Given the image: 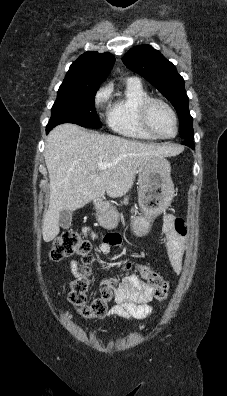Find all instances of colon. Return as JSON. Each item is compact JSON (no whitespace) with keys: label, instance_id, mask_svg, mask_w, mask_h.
<instances>
[{"label":"colon","instance_id":"colon-1","mask_svg":"<svg viewBox=\"0 0 227 396\" xmlns=\"http://www.w3.org/2000/svg\"><path fill=\"white\" fill-rule=\"evenodd\" d=\"M72 256L80 258L82 276L77 277L71 284L70 302L76 307L78 313L86 319L103 317L114 299L113 287L116 285L115 282L112 281L111 287L103 288L99 297L87 304L89 279L86 274L93 262L92 246L87 239L82 238L76 232H68L57 238L50 250V258L54 261ZM127 267H131V264L128 263ZM138 269L145 282L153 287L155 299L160 302L164 301L168 295V282L148 266L140 265Z\"/></svg>","mask_w":227,"mask_h":396}]
</instances>
